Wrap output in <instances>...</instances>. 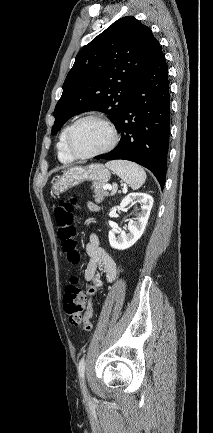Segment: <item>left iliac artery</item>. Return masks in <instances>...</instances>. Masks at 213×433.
Returning <instances> with one entry per match:
<instances>
[{
	"mask_svg": "<svg viewBox=\"0 0 213 433\" xmlns=\"http://www.w3.org/2000/svg\"><path fill=\"white\" fill-rule=\"evenodd\" d=\"M78 372H79V377L81 380V384L82 387H84V373H85V359L81 358V360L79 361V365H78Z\"/></svg>",
	"mask_w": 213,
	"mask_h": 433,
	"instance_id": "1",
	"label": "left iliac artery"
}]
</instances>
